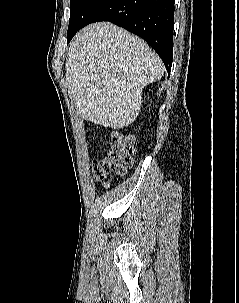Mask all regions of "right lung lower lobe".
<instances>
[{
  "instance_id": "98d812e1",
  "label": "right lung lower lobe",
  "mask_w": 239,
  "mask_h": 303,
  "mask_svg": "<svg viewBox=\"0 0 239 303\" xmlns=\"http://www.w3.org/2000/svg\"><path fill=\"white\" fill-rule=\"evenodd\" d=\"M174 0H105L85 26L109 21L142 37L160 56L168 72L173 57Z\"/></svg>"
}]
</instances>
